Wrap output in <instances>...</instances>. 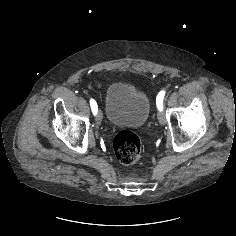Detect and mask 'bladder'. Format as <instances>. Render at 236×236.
I'll use <instances>...</instances> for the list:
<instances>
[{"instance_id":"bladder-1","label":"bladder","mask_w":236,"mask_h":236,"mask_svg":"<svg viewBox=\"0 0 236 236\" xmlns=\"http://www.w3.org/2000/svg\"><path fill=\"white\" fill-rule=\"evenodd\" d=\"M105 116L119 127H140L150 114V101L141 91L125 82L112 83L106 90Z\"/></svg>"}]
</instances>
